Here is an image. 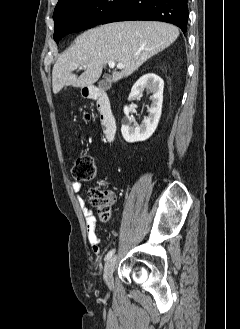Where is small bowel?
I'll list each match as a JSON object with an SVG mask.
<instances>
[{
    "mask_svg": "<svg viewBox=\"0 0 240 329\" xmlns=\"http://www.w3.org/2000/svg\"><path fill=\"white\" fill-rule=\"evenodd\" d=\"M71 187L72 190L78 195V202L85 217L86 234L88 241L91 245L92 251L95 254H99L101 252V245L100 239L96 233V217L94 216L92 211L86 206L85 200L80 196L82 184L79 182H73L71 184Z\"/></svg>",
    "mask_w": 240,
    "mask_h": 329,
    "instance_id": "obj_1",
    "label": "small bowel"
}]
</instances>
